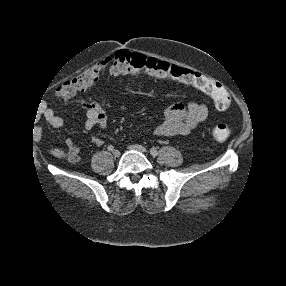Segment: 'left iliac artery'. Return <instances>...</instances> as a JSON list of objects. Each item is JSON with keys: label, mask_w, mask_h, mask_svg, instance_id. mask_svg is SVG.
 Returning <instances> with one entry per match:
<instances>
[{"label": "left iliac artery", "mask_w": 286, "mask_h": 286, "mask_svg": "<svg viewBox=\"0 0 286 286\" xmlns=\"http://www.w3.org/2000/svg\"><path fill=\"white\" fill-rule=\"evenodd\" d=\"M150 153H151L152 156H157L158 155V151L155 148H151L150 149Z\"/></svg>", "instance_id": "44dca946"}]
</instances>
